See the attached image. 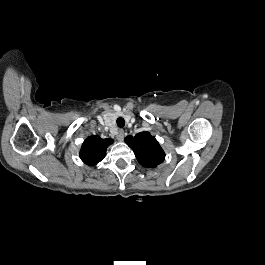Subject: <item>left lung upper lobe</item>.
<instances>
[{
    "mask_svg": "<svg viewBox=\"0 0 265 265\" xmlns=\"http://www.w3.org/2000/svg\"><path fill=\"white\" fill-rule=\"evenodd\" d=\"M125 142L135 153L138 162L146 168H155L165 159L163 149L149 132L127 136Z\"/></svg>",
    "mask_w": 265,
    "mask_h": 265,
    "instance_id": "1",
    "label": "left lung upper lobe"
}]
</instances>
